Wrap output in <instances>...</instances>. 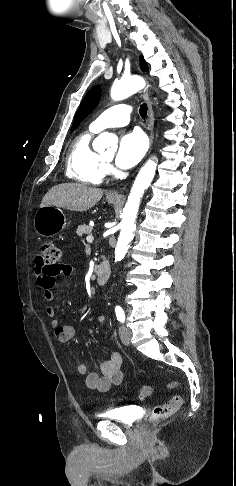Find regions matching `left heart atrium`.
Segmentation results:
<instances>
[{"instance_id": "1", "label": "left heart atrium", "mask_w": 236, "mask_h": 486, "mask_svg": "<svg viewBox=\"0 0 236 486\" xmlns=\"http://www.w3.org/2000/svg\"><path fill=\"white\" fill-rule=\"evenodd\" d=\"M146 149V139L140 132L133 131L123 135L115 159L116 165L121 169L133 167L144 156Z\"/></svg>"}]
</instances>
